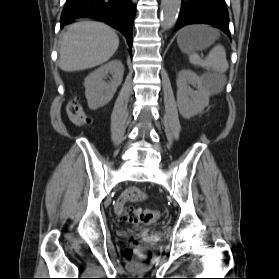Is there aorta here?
I'll return each instance as SVG.
<instances>
[{"label": "aorta", "mask_w": 279, "mask_h": 279, "mask_svg": "<svg viewBox=\"0 0 279 279\" xmlns=\"http://www.w3.org/2000/svg\"><path fill=\"white\" fill-rule=\"evenodd\" d=\"M181 0H162L161 2V26L164 30L173 26L180 12Z\"/></svg>", "instance_id": "obj_1"}]
</instances>
